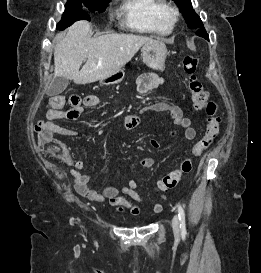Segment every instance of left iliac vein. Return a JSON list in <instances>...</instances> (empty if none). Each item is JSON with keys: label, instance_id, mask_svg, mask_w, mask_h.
<instances>
[{"label": "left iliac vein", "instance_id": "1", "mask_svg": "<svg viewBox=\"0 0 261 273\" xmlns=\"http://www.w3.org/2000/svg\"><path fill=\"white\" fill-rule=\"evenodd\" d=\"M172 227H173L174 233L178 235L180 233V223H179L178 216L176 214L172 218Z\"/></svg>", "mask_w": 261, "mask_h": 273}]
</instances>
